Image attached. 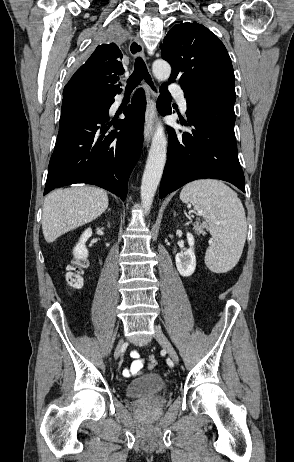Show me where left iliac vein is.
Wrapping results in <instances>:
<instances>
[{"instance_id": "1", "label": "left iliac vein", "mask_w": 294, "mask_h": 462, "mask_svg": "<svg viewBox=\"0 0 294 462\" xmlns=\"http://www.w3.org/2000/svg\"><path fill=\"white\" fill-rule=\"evenodd\" d=\"M154 337L155 339L160 343V345L166 350L168 356L171 358V360L175 363L179 362V357L171 345L170 341L167 339V337L164 335L162 332L161 328L157 325L154 326Z\"/></svg>"}]
</instances>
